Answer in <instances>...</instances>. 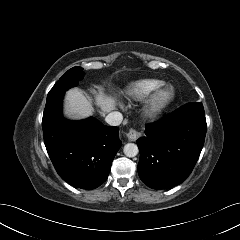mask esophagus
<instances>
[{"instance_id":"esophagus-1","label":"esophagus","mask_w":240,"mask_h":240,"mask_svg":"<svg viewBox=\"0 0 240 240\" xmlns=\"http://www.w3.org/2000/svg\"><path fill=\"white\" fill-rule=\"evenodd\" d=\"M141 135H142L141 132L135 129H130L126 134L129 141H136Z\"/></svg>"}]
</instances>
